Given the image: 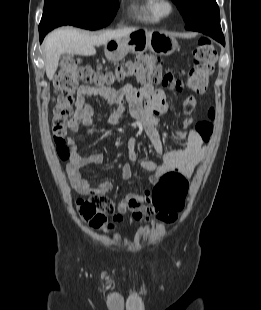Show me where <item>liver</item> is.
<instances>
[{"label":"liver","mask_w":261,"mask_h":310,"mask_svg":"<svg viewBox=\"0 0 261 310\" xmlns=\"http://www.w3.org/2000/svg\"><path fill=\"white\" fill-rule=\"evenodd\" d=\"M136 30L137 28H124L105 31L99 35L83 33L74 28L54 30L44 41L45 70L48 79H53L62 54L95 55V46L106 45L111 40L123 39Z\"/></svg>","instance_id":"obj_1"}]
</instances>
